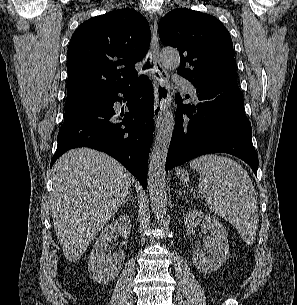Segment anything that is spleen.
Masks as SVG:
<instances>
[{"label": "spleen", "mask_w": 297, "mask_h": 305, "mask_svg": "<svg viewBox=\"0 0 297 305\" xmlns=\"http://www.w3.org/2000/svg\"><path fill=\"white\" fill-rule=\"evenodd\" d=\"M200 173L198 190L205 205L235 226L242 239L252 244L258 228L257 196L246 170L236 161L204 155L190 162Z\"/></svg>", "instance_id": "obj_1"}]
</instances>
